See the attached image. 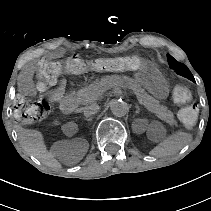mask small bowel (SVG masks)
<instances>
[{
	"mask_svg": "<svg viewBox=\"0 0 211 211\" xmlns=\"http://www.w3.org/2000/svg\"><path fill=\"white\" fill-rule=\"evenodd\" d=\"M63 55L62 51H53L39 60L32 61L28 63L21 74L19 88L22 92L31 94L34 92V85L32 83V76L35 70L43 63L44 61L52 58H59ZM66 90V83L64 80H61L57 83L56 87L51 91L45 92L42 94L44 99L49 100L51 103H59L62 101Z\"/></svg>",
	"mask_w": 211,
	"mask_h": 211,
	"instance_id": "obj_1",
	"label": "small bowel"
}]
</instances>
